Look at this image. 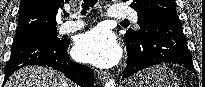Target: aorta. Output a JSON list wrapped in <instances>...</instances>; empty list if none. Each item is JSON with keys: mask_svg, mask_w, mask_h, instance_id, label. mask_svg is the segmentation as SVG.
Here are the masks:
<instances>
[{"mask_svg": "<svg viewBox=\"0 0 205 87\" xmlns=\"http://www.w3.org/2000/svg\"><path fill=\"white\" fill-rule=\"evenodd\" d=\"M105 87H116L115 80L112 78L105 83Z\"/></svg>", "mask_w": 205, "mask_h": 87, "instance_id": "obj_1", "label": "aorta"}]
</instances>
